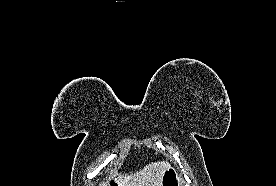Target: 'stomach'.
Segmentation results:
<instances>
[{
	"instance_id": "1",
	"label": "stomach",
	"mask_w": 276,
	"mask_h": 186,
	"mask_svg": "<svg viewBox=\"0 0 276 186\" xmlns=\"http://www.w3.org/2000/svg\"><path fill=\"white\" fill-rule=\"evenodd\" d=\"M161 186H182V179L173 167H168L161 179Z\"/></svg>"
}]
</instances>
